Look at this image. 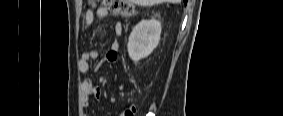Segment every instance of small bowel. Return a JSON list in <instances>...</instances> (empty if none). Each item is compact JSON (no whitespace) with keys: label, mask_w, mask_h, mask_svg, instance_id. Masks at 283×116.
I'll use <instances>...</instances> for the list:
<instances>
[{"label":"small bowel","mask_w":283,"mask_h":116,"mask_svg":"<svg viewBox=\"0 0 283 116\" xmlns=\"http://www.w3.org/2000/svg\"><path fill=\"white\" fill-rule=\"evenodd\" d=\"M109 17V12L107 8L99 6L96 2L90 1L89 6L84 14V24L86 29H90L95 21V19L105 20ZM114 30L117 36H120L122 33V23L117 21L114 25ZM119 49V42L114 40L110 43L109 48L106 52L105 57L99 61L95 66V70L100 67L101 62L108 61L114 62L117 58V51ZM99 53L95 49H90L85 51L79 61L78 68L83 74H87L90 71V61L98 59ZM82 94H83V106L85 108L89 107L90 100L92 98L100 97V88L95 86L91 79L85 78L81 85Z\"/></svg>","instance_id":"c3829d8e"}]
</instances>
